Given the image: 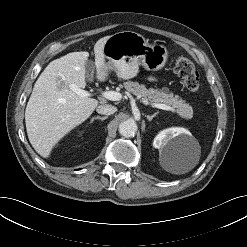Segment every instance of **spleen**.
I'll return each mask as SVG.
<instances>
[{"label": "spleen", "instance_id": "obj_1", "mask_svg": "<svg viewBox=\"0 0 247 247\" xmlns=\"http://www.w3.org/2000/svg\"><path fill=\"white\" fill-rule=\"evenodd\" d=\"M187 170H181L179 173H184V172H186Z\"/></svg>", "mask_w": 247, "mask_h": 247}]
</instances>
